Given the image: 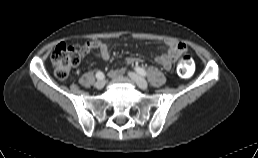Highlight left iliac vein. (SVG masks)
I'll return each mask as SVG.
<instances>
[{
  "mask_svg": "<svg viewBox=\"0 0 258 158\" xmlns=\"http://www.w3.org/2000/svg\"><path fill=\"white\" fill-rule=\"evenodd\" d=\"M129 77L131 78V80L141 89L145 90L148 88V83L147 81L141 77L140 75H138L137 73L134 72H130L129 73Z\"/></svg>",
  "mask_w": 258,
  "mask_h": 158,
  "instance_id": "1",
  "label": "left iliac vein"
}]
</instances>
